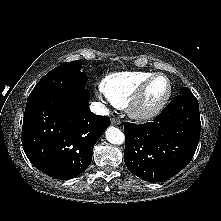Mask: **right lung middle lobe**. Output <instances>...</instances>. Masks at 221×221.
Instances as JSON below:
<instances>
[{
  "mask_svg": "<svg viewBox=\"0 0 221 221\" xmlns=\"http://www.w3.org/2000/svg\"><path fill=\"white\" fill-rule=\"evenodd\" d=\"M81 66V62L76 60L52 69L34 87L27 104L50 97L69 96L82 90L87 78L80 71Z\"/></svg>",
  "mask_w": 221,
  "mask_h": 221,
  "instance_id": "dd1d6c3e",
  "label": "right lung middle lobe"
}]
</instances>
